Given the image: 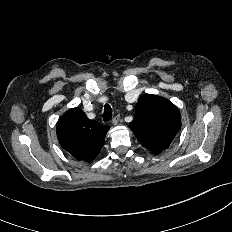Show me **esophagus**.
<instances>
[{"mask_svg": "<svg viewBox=\"0 0 232 232\" xmlns=\"http://www.w3.org/2000/svg\"><path fill=\"white\" fill-rule=\"evenodd\" d=\"M120 120V116L116 115L113 119H112V124L113 125H117L119 123Z\"/></svg>", "mask_w": 232, "mask_h": 232, "instance_id": "1", "label": "esophagus"}]
</instances>
